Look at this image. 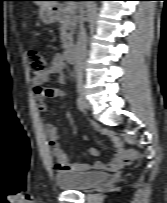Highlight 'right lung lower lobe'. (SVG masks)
<instances>
[{
  "mask_svg": "<svg viewBox=\"0 0 167 203\" xmlns=\"http://www.w3.org/2000/svg\"><path fill=\"white\" fill-rule=\"evenodd\" d=\"M29 1H36V0H29ZM55 1H60V0H55ZM79 1H89V0H79ZM91 1H101V0H91Z\"/></svg>",
  "mask_w": 167,
  "mask_h": 203,
  "instance_id": "98d812e1",
  "label": "right lung lower lobe"
}]
</instances>
